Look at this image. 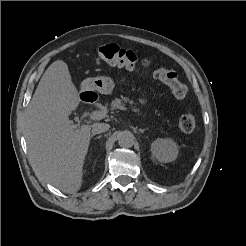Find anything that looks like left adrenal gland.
Returning a JSON list of instances; mask_svg holds the SVG:
<instances>
[{"label":"left adrenal gland","instance_id":"a2214340","mask_svg":"<svg viewBox=\"0 0 246 246\" xmlns=\"http://www.w3.org/2000/svg\"><path fill=\"white\" fill-rule=\"evenodd\" d=\"M146 129L147 128H145V129H139V132L143 133Z\"/></svg>","mask_w":246,"mask_h":246}]
</instances>
